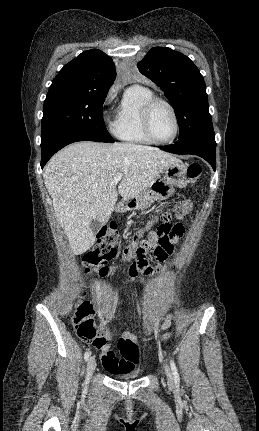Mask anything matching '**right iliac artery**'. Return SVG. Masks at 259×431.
Here are the masks:
<instances>
[{"mask_svg":"<svg viewBox=\"0 0 259 431\" xmlns=\"http://www.w3.org/2000/svg\"><path fill=\"white\" fill-rule=\"evenodd\" d=\"M90 355H91L90 351H86V352H85V354H84V359H85V361H88V359H89Z\"/></svg>","mask_w":259,"mask_h":431,"instance_id":"right-iliac-artery-1","label":"right iliac artery"}]
</instances>
